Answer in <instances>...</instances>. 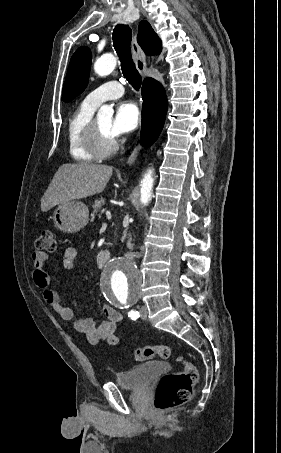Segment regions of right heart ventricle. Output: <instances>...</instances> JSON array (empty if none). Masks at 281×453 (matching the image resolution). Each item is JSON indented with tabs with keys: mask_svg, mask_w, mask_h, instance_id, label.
<instances>
[{
	"mask_svg": "<svg viewBox=\"0 0 281 453\" xmlns=\"http://www.w3.org/2000/svg\"><path fill=\"white\" fill-rule=\"evenodd\" d=\"M98 106L85 99L67 120L69 150L76 161L84 162L94 159V155L91 153L87 143V136Z\"/></svg>",
	"mask_w": 281,
	"mask_h": 453,
	"instance_id": "1",
	"label": "right heart ventricle"
}]
</instances>
